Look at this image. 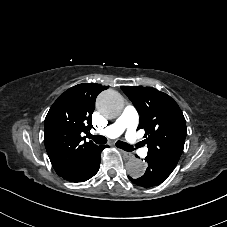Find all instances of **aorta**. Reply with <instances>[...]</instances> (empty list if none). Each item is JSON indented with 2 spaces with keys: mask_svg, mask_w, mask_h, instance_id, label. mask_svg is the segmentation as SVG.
<instances>
[{
  "mask_svg": "<svg viewBox=\"0 0 227 227\" xmlns=\"http://www.w3.org/2000/svg\"><path fill=\"white\" fill-rule=\"evenodd\" d=\"M97 109L106 117L119 115L124 108L122 96L114 90L102 92L96 101ZM127 173L133 178H139L145 174V163L137 158L130 159L126 164Z\"/></svg>",
  "mask_w": 227,
  "mask_h": 227,
  "instance_id": "762f6f07",
  "label": "aorta"
}]
</instances>
